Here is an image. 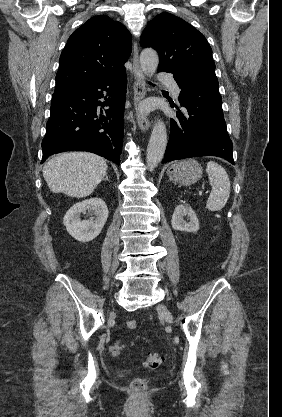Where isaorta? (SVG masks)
<instances>
[{
  "label": "aorta",
  "instance_id": "aorta-1",
  "mask_svg": "<svg viewBox=\"0 0 282 417\" xmlns=\"http://www.w3.org/2000/svg\"><path fill=\"white\" fill-rule=\"evenodd\" d=\"M139 60L142 72L147 74V76H152L159 62V56L156 50H153V48H144ZM166 146L167 130L163 120L159 118L155 122V126H153L147 146L146 162L149 170H154L155 166H158L159 162H161Z\"/></svg>",
  "mask_w": 282,
  "mask_h": 417
}]
</instances>
